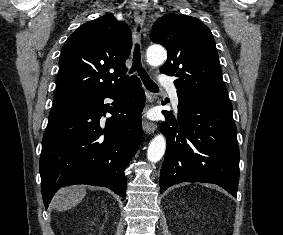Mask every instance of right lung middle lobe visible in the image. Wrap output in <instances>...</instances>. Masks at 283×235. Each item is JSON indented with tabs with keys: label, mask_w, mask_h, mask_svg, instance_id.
<instances>
[{
	"label": "right lung middle lobe",
	"mask_w": 283,
	"mask_h": 235,
	"mask_svg": "<svg viewBox=\"0 0 283 235\" xmlns=\"http://www.w3.org/2000/svg\"><path fill=\"white\" fill-rule=\"evenodd\" d=\"M78 102H66V103H59V104H54L50 114H49V122L58 120L67 114H69L79 103Z\"/></svg>",
	"instance_id": "right-lung-middle-lobe-1"
}]
</instances>
